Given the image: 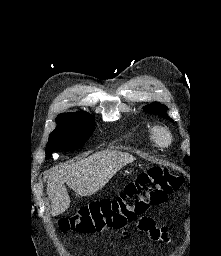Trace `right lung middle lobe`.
I'll return each instance as SVG.
<instances>
[{
    "label": "right lung middle lobe",
    "mask_w": 221,
    "mask_h": 256,
    "mask_svg": "<svg viewBox=\"0 0 221 256\" xmlns=\"http://www.w3.org/2000/svg\"><path fill=\"white\" fill-rule=\"evenodd\" d=\"M56 121L46 146V159L57 150L80 148L95 130L94 117L85 112L57 116Z\"/></svg>",
    "instance_id": "dd1d6c3e"
}]
</instances>
